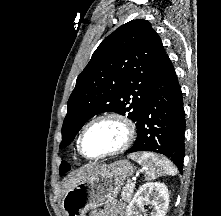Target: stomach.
<instances>
[{
    "label": "stomach",
    "instance_id": "obj_1",
    "mask_svg": "<svg viewBox=\"0 0 221 216\" xmlns=\"http://www.w3.org/2000/svg\"><path fill=\"white\" fill-rule=\"evenodd\" d=\"M129 161H117L109 166H98L67 191L62 208L66 216H86V212L111 202L121 187L134 174Z\"/></svg>",
    "mask_w": 221,
    "mask_h": 216
}]
</instances>
